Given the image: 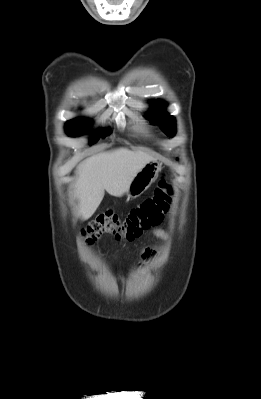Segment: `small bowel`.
Listing matches in <instances>:
<instances>
[{
    "label": "small bowel",
    "mask_w": 261,
    "mask_h": 399,
    "mask_svg": "<svg viewBox=\"0 0 261 399\" xmlns=\"http://www.w3.org/2000/svg\"><path fill=\"white\" fill-rule=\"evenodd\" d=\"M152 234H153V236H155L156 238H159V239H166L168 236L167 231L164 229H155L152 232ZM154 255H155V251L152 248H145L142 251L141 256L144 261H149L154 257Z\"/></svg>",
    "instance_id": "1"
}]
</instances>
